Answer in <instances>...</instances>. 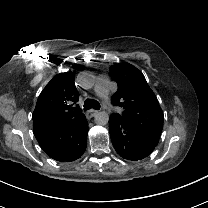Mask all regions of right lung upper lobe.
Returning a JSON list of instances; mask_svg holds the SVG:
<instances>
[{
  "label": "right lung upper lobe",
  "mask_w": 208,
  "mask_h": 208,
  "mask_svg": "<svg viewBox=\"0 0 208 208\" xmlns=\"http://www.w3.org/2000/svg\"><path fill=\"white\" fill-rule=\"evenodd\" d=\"M74 76V72L60 73L43 89L32 115L34 132L64 127L84 116Z\"/></svg>",
  "instance_id": "right-lung-upper-lobe-1"
}]
</instances>
